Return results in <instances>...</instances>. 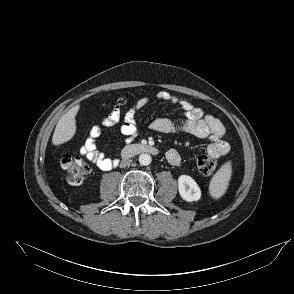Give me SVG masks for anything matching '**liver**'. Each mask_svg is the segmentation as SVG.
<instances>
[{"mask_svg":"<svg viewBox=\"0 0 294 294\" xmlns=\"http://www.w3.org/2000/svg\"><path fill=\"white\" fill-rule=\"evenodd\" d=\"M80 105H75L58 121L52 137L53 145H61L73 138L76 133V115Z\"/></svg>","mask_w":294,"mask_h":294,"instance_id":"1","label":"liver"}]
</instances>
